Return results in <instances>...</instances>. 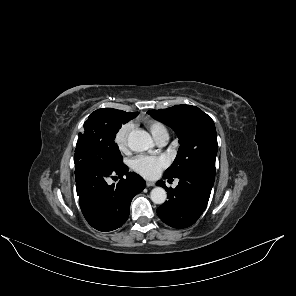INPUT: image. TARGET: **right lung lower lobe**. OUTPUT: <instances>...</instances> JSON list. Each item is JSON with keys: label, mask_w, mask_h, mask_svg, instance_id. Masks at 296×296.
Wrapping results in <instances>:
<instances>
[{"label": "right lung lower lobe", "mask_w": 296, "mask_h": 296, "mask_svg": "<svg viewBox=\"0 0 296 296\" xmlns=\"http://www.w3.org/2000/svg\"><path fill=\"white\" fill-rule=\"evenodd\" d=\"M74 163L77 195L87 222L104 232L121 227L129 216L133 197L145 188V181L128 172L127 166L113 168L98 154L81 147H76ZM115 175L120 181L109 185L108 178Z\"/></svg>", "instance_id": "obj_1"}]
</instances>
